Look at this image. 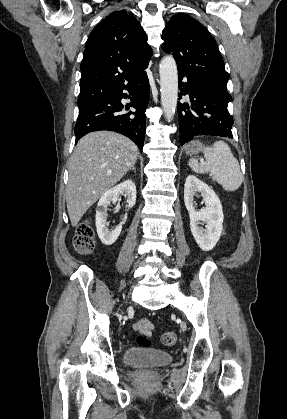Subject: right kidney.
Segmentation results:
<instances>
[{
  "label": "right kidney",
  "instance_id": "right-kidney-1",
  "mask_svg": "<svg viewBox=\"0 0 287 419\" xmlns=\"http://www.w3.org/2000/svg\"><path fill=\"white\" fill-rule=\"evenodd\" d=\"M120 195L127 197V207L132 208L136 203V186L131 180H126L106 191L100 198L96 209V228L98 236L104 245H112L119 237L122 225L113 230L108 229L107 210L111 203H116Z\"/></svg>",
  "mask_w": 287,
  "mask_h": 419
}]
</instances>
